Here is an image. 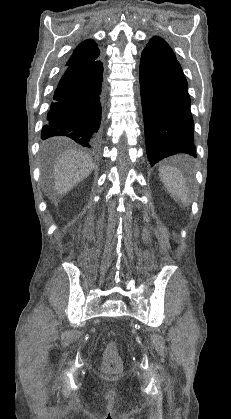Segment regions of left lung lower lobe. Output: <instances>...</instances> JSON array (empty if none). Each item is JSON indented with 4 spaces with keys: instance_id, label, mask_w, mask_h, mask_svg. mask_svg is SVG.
I'll return each mask as SVG.
<instances>
[{
    "instance_id": "left-lung-lower-lobe-1",
    "label": "left lung lower lobe",
    "mask_w": 231,
    "mask_h": 419,
    "mask_svg": "<svg viewBox=\"0 0 231 419\" xmlns=\"http://www.w3.org/2000/svg\"><path fill=\"white\" fill-rule=\"evenodd\" d=\"M139 75L150 164L179 154L196 157L188 85L179 62L143 51Z\"/></svg>"
}]
</instances>
